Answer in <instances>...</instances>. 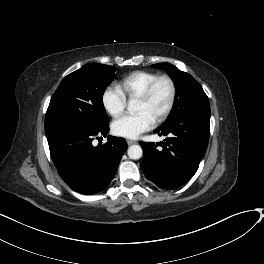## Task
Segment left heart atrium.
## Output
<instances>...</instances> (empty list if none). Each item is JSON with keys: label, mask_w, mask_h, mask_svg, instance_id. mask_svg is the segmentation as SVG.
<instances>
[{"label": "left heart atrium", "mask_w": 264, "mask_h": 264, "mask_svg": "<svg viewBox=\"0 0 264 264\" xmlns=\"http://www.w3.org/2000/svg\"><path fill=\"white\" fill-rule=\"evenodd\" d=\"M154 119L146 112L135 115H125L112 124V131L115 135L125 138H136L143 132L151 129Z\"/></svg>", "instance_id": "1"}]
</instances>
